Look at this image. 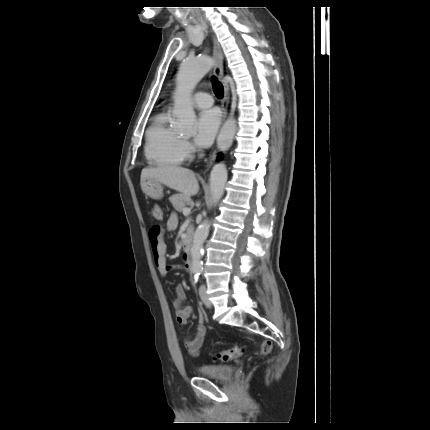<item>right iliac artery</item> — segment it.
Instances as JSON below:
<instances>
[{"mask_svg": "<svg viewBox=\"0 0 430 430\" xmlns=\"http://www.w3.org/2000/svg\"><path fill=\"white\" fill-rule=\"evenodd\" d=\"M199 275H200L199 273L194 274V283L198 281Z\"/></svg>", "mask_w": 430, "mask_h": 430, "instance_id": "1", "label": "right iliac artery"}]
</instances>
